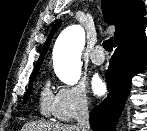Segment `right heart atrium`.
<instances>
[{"label":"right heart atrium","mask_w":147,"mask_h":131,"mask_svg":"<svg viewBox=\"0 0 147 131\" xmlns=\"http://www.w3.org/2000/svg\"><path fill=\"white\" fill-rule=\"evenodd\" d=\"M90 99L83 84L62 86L54 96L52 114L62 122H70L85 115Z\"/></svg>","instance_id":"1"}]
</instances>
